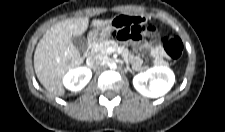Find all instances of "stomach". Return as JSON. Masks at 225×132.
I'll use <instances>...</instances> for the list:
<instances>
[{"mask_svg":"<svg viewBox=\"0 0 225 132\" xmlns=\"http://www.w3.org/2000/svg\"><path fill=\"white\" fill-rule=\"evenodd\" d=\"M113 31L112 23L97 27L89 32V38L93 42H100L106 39H109L111 37V33Z\"/></svg>","mask_w":225,"mask_h":132,"instance_id":"stomach-1","label":"stomach"}]
</instances>
